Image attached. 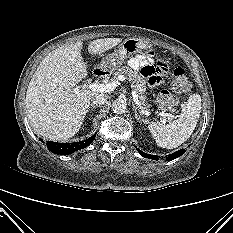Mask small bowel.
Returning a JSON list of instances; mask_svg holds the SVG:
<instances>
[{"label": "small bowel", "instance_id": "1", "mask_svg": "<svg viewBox=\"0 0 233 233\" xmlns=\"http://www.w3.org/2000/svg\"><path fill=\"white\" fill-rule=\"evenodd\" d=\"M131 68L139 70L141 75L154 85L160 82L161 74L166 69L165 63L156 65L150 55H137L129 59Z\"/></svg>", "mask_w": 233, "mask_h": 233}]
</instances>
